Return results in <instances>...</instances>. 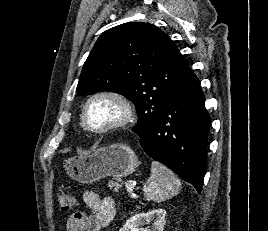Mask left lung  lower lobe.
Instances as JSON below:
<instances>
[{
    "mask_svg": "<svg viewBox=\"0 0 268 231\" xmlns=\"http://www.w3.org/2000/svg\"><path fill=\"white\" fill-rule=\"evenodd\" d=\"M204 102L198 78L192 73L170 95L153 127L138 134L148 156L167 165L199 193L211 123Z\"/></svg>",
    "mask_w": 268,
    "mask_h": 231,
    "instance_id": "1",
    "label": "left lung lower lobe"
}]
</instances>
